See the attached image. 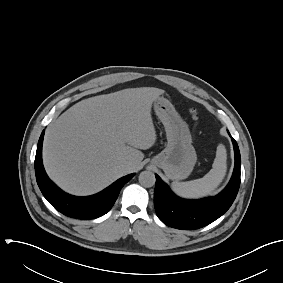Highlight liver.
<instances>
[{"instance_id": "obj_1", "label": "liver", "mask_w": 283, "mask_h": 283, "mask_svg": "<svg viewBox=\"0 0 283 283\" xmlns=\"http://www.w3.org/2000/svg\"><path fill=\"white\" fill-rule=\"evenodd\" d=\"M164 90L128 88L76 103L46 130L43 163L49 177L68 193H97L144 158L156 142L151 109ZM140 149V150H139ZM130 163L124 170L121 165Z\"/></svg>"}]
</instances>
